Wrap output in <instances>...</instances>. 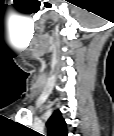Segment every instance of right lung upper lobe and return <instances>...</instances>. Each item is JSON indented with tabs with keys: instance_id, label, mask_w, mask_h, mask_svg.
Instances as JSON below:
<instances>
[{
	"instance_id": "cb5924a9",
	"label": "right lung upper lobe",
	"mask_w": 114,
	"mask_h": 136,
	"mask_svg": "<svg viewBox=\"0 0 114 136\" xmlns=\"http://www.w3.org/2000/svg\"><path fill=\"white\" fill-rule=\"evenodd\" d=\"M46 125L49 136H67L66 123L59 110L53 112Z\"/></svg>"
}]
</instances>
